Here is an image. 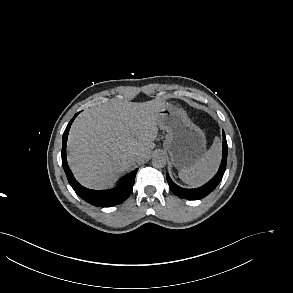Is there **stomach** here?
Masks as SVG:
<instances>
[{"mask_svg": "<svg viewBox=\"0 0 293 293\" xmlns=\"http://www.w3.org/2000/svg\"><path fill=\"white\" fill-rule=\"evenodd\" d=\"M158 126L167 132L164 148L178 170L193 166L206 153L203 131L190 121L182 108L166 104L159 113Z\"/></svg>", "mask_w": 293, "mask_h": 293, "instance_id": "0dacf381", "label": "stomach"}]
</instances>
